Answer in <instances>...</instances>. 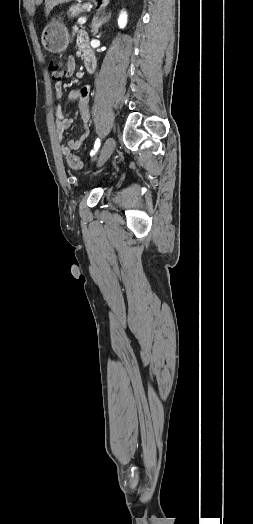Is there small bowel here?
Instances as JSON below:
<instances>
[{"mask_svg": "<svg viewBox=\"0 0 253 524\" xmlns=\"http://www.w3.org/2000/svg\"><path fill=\"white\" fill-rule=\"evenodd\" d=\"M76 40L79 46V53L84 58L85 65L90 64L96 69V58L92 50L88 46V38L84 31L78 30L76 33ZM66 71L62 74L61 79L64 82L69 81L70 78L76 74L77 64L73 57H69L66 64ZM56 97L59 100L64 98V90L61 82L55 85ZM68 101L77 100L80 119L82 122L81 134L78 139H70L61 146V152L65 156H69L71 152L77 150L82 146L89 135V124L91 119L90 113V87L83 86L80 89L72 90L66 96ZM73 124V119L66 117L61 106L56 110V132L59 139L63 138L64 132Z\"/></svg>", "mask_w": 253, "mask_h": 524, "instance_id": "1", "label": "small bowel"}]
</instances>
